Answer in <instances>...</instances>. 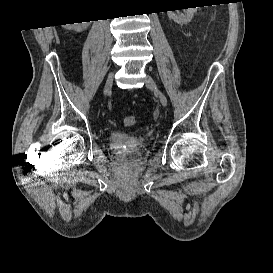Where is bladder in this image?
Segmentation results:
<instances>
[{"mask_svg":"<svg viewBox=\"0 0 273 273\" xmlns=\"http://www.w3.org/2000/svg\"><path fill=\"white\" fill-rule=\"evenodd\" d=\"M146 141L143 137L122 131H113L109 135V149L121 156L135 158L141 154Z\"/></svg>","mask_w":273,"mask_h":273,"instance_id":"1","label":"bladder"}]
</instances>
